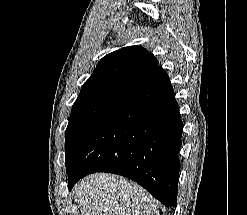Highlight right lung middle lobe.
I'll return each instance as SVG.
<instances>
[{"mask_svg": "<svg viewBox=\"0 0 247 215\" xmlns=\"http://www.w3.org/2000/svg\"><path fill=\"white\" fill-rule=\"evenodd\" d=\"M129 88H110L81 92L72 106L65 131V165L70 170L72 158L85 133L110 112L129 92Z\"/></svg>", "mask_w": 247, "mask_h": 215, "instance_id": "1", "label": "right lung middle lobe"}]
</instances>
